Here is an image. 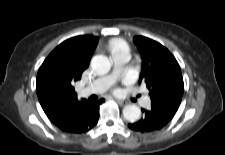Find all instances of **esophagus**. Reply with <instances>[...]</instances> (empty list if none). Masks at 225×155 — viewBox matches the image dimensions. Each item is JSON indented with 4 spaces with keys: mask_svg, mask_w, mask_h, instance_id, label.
<instances>
[{
    "mask_svg": "<svg viewBox=\"0 0 225 155\" xmlns=\"http://www.w3.org/2000/svg\"><path fill=\"white\" fill-rule=\"evenodd\" d=\"M115 101L120 105V106H124L126 105L127 103L123 100H119V99H115Z\"/></svg>",
    "mask_w": 225,
    "mask_h": 155,
    "instance_id": "34e87169",
    "label": "esophagus"
}]
</instances>
